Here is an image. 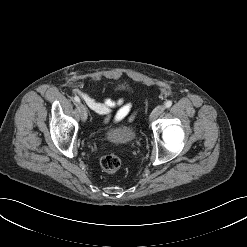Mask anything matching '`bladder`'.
Listing matches in <instances>:
<instances>
[{
  "instance_id": "31cf9c89",
  "label": "bladder",
  "mask_w": 247,
  "mask_h": 247,
  "mask_svg": "<svg viewBox=\"0 0 247 247\" xmlns=\"http://www.w3.org/2000/svg\"><path fill=\"white\" fill-rule=\"evenodd\" d=\"M108 139L116 143H130L136 139V131L132 126H121L110 130Z\"/></svg>"
}]
</instances>
